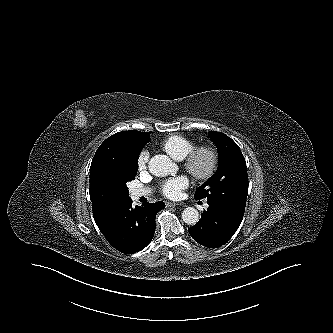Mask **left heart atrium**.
Returning a JSON list of instances; mask_svg holds the SVG:
<instances>
[{
  "label": "left heart atrium",
  "instance_id": "39dd6f15",
  "mask_svg": "<svg viewBox=\"0 0 333 333\" xmlns=\"http://www.w3.org/2000/svg\"><path fill=\"white\" fill-rule=\"evenodd\" d=\"M189 180L186 176L180 175L167 179L162 183V193L169 198H177L180 196L181 191L187 188Z\"/></svg>",
  "mask_w": 333,
  "mask_h": 333
}]
</instances>
